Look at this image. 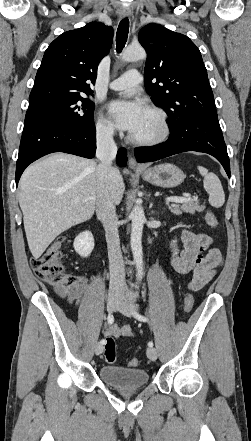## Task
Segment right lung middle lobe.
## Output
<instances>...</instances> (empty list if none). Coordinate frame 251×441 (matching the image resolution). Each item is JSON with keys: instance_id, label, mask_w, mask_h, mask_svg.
<instances>
[{"instance_id": "obj_1", "label": "right lung middle lobe", "mask_w": 251, "mask_h": 441, "mask_svg": "<svg viewBox=\"0 0 251 441\" xmlns=\"http://www.w3.org/2000/svg\"><path fill=\"white\" fill-rule=\"evenodd\" d=\"M27 112L48 116L77 129L94 125V104L83 95H60L31 101Z\"/></svg>"}]
</instances>
